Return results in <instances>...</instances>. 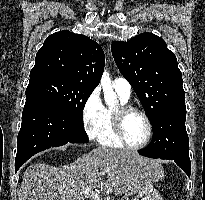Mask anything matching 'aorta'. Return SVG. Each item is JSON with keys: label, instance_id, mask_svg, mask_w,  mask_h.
Returning a JSON list of instances; mask_svg holds the SVG:
<instances>
[{"label": "aorta", "instance_id": "obj_1", "mask_svg": "<svg viewBox=\"0 0 205 200\" xmlns=\"http://www.w3.org/2000/svg\"><path fill=\"white\" fill-rule=\"evenodd\" d=\"M101 86L104 92V99L108 107H113L116 103V94L111 85L109 74L105 71L101 77Z\"/></svg>", "mask_w": 205, "mask_h": 200}]
</instances>
